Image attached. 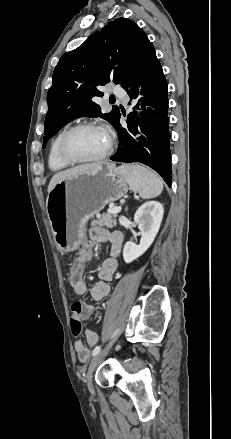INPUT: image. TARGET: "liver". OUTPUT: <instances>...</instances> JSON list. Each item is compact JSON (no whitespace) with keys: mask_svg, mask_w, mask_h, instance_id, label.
<instances>
[{"mask_svg":"<svg viewBox=\"0 0 231 439\" xmlns=\"http://www.w3.org/2000/svg\"><path fill=\"white\" fill-rule=\"evenodd\" d=\"M99 164H100V163H91V164L79 165V166H76V167H73V168H70V169H67V170L60 171V172L56 173V174L51 178L50 183H49V185H48V189H47L48 194L50 193V191L54 188V186H55L57 183H59V182L65 180V179H67V178H69V177H71V176H74V175H77V174H80V173L87 172V171H89V170L95 168V167H96L97 165H99Z\"/></svg>","mask_w":231,"mask_h":439,"instance_id":"liver-1","label":"liver"}]
</instances>
